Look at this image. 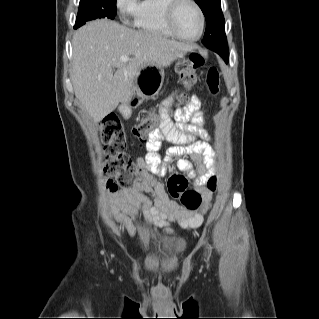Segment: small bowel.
<instances>
[{
  "label": "small bowel",
  "mask_w": 319,
  "mask_h": 319,
  "mask_svg": "<svg viewBox=\"0 0 319 319\" xmlns=\"http://www.w3.org/2000/svg\"><path fill=\"white\" fill-rule=\"evenodd\" d=\"M171 104L172 98L162 104L159 111L160 128L149 134L147 153L138 159L139 165L145 169L141 179L112 198L118 201V206L111 207L110 212L130 236L135 235L136 228L122 210L132 216L141 213L147 225L163 228L169 233L172 232L173 223H178L184 229L193 230L204 222L202 212L182 208L168 197L163 184L158 180L167 169L157 151L163 142L172 143L175 147L169 150L165 161L171 162L172 157L181 156L176 162V169L194 178V185L203 197V209H206L211 199L206 183L213 175V148L210 144L211 137L203 128L205 116L200 109V99L192 96L190 102L177 111V125L173 124L168 116ZM193 162L200 165L198 173L194 171Z\"/></svg>",
  "instance_id": "1"
}]
</instances>
